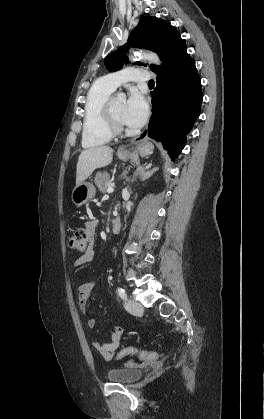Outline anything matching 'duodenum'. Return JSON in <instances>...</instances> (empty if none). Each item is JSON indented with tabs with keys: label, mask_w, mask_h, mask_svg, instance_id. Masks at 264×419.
Here are the masks:
<instances>
[{
	"label": "duodenum",
	"mask_w": 264,
	"mask_h": 419,
	"mask_svg": "<svg viewBox=\"0 0 264 419\" xmlns=\"http://www.w3.org/2000/svg\"><path fill=\"white\" fill-rule=\"evenodd\" d=\"M120 229H121V221H120V219L119 218L113 219L112 220V223H111V231L113 233H118L120 231Z\"/></svg>",
	"instance_id": "obj_1"
}]
</instances>
